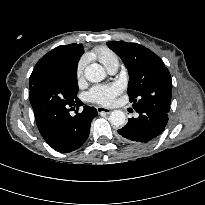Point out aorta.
<instances>
[{"mask_svg":"<svg viewBox=\"0 0 205 205\" xmlns=\"http://www.w3.org/2000/svg\"><path fill=\"white\" fill-rule=\"evenodd\" d=\"M85 78L92 83H98L105 79V69L97 63H93L85 68ZM110 123L114 126H121L125 123L126 116L121 110H114L109 116Z\"/></svg>","mask_w":205,"mask_h":205,"instance_id":"obj_1","label":"aorta"}]
</instances>
